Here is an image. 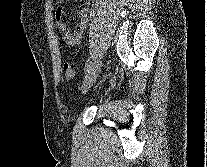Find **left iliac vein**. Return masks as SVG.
Here are the masks:
<instances>
[{"label":"left iliac vein","mask_w":207,"mask_h":167,"mask_svg":"<svg viewBox=\"0 0 207 167\" xmlns=\"http://www.w3.org/2000/svg\"><path fill=\"white\" fill-rule=\"evenodd\" d=\"M102 61L100 60H96L92 66L90 67V69L88 70V73L85 76V79L83 81V85H82V90L85 93L86 91H88V89L93 85V83L95 82L98 74L101 71L102 68Z\"/></svg>","instance_id":"1"}]
</instances>
